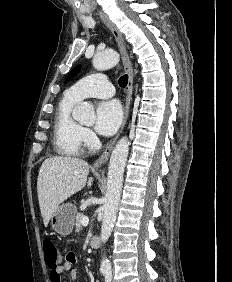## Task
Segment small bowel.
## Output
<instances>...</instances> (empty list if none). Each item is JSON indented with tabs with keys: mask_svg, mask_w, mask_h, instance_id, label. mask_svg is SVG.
I'll return each mask as SVG.
<instances>
[{
	"mask_svg": "<svg viewBox=\"0 0 232 282\" xmlns=\"http://www.w3.org/2000/svg\"><path fill=\"white\" fill-rule=\"evenodd\" d=\"M76 262V255L73 252H68L65 261L58 265L54 271H50V282H62V274L64 272H69L70 280H76L78 277V272L74 268Z\"/></svg>",
	"mask_w": 232,
	"mask_h": 282,
	"instance_id": "obj_1",
	"label": "small bowel"
}]
</instances>
